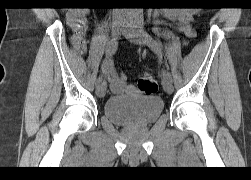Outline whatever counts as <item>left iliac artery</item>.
I'll return each instance as SVG.
<instances>
[{
	"mask_svg": "<svg viewBox=\"0 0 251 180\" xmlns=\"http://www.w3.org/2000/svg\"><path fill=\"white\" fill-rule=\"evenodd\" d=\"M135 24L136 27L138 28L139 32L143 35L146 44L152 49V51H154L156 54L161 55V48H160V44L152 38L151 35H149L145 29H144V19L142 17V15L137 14L135 16ZM163 76L172 80L171 74L170 72L164 70L163 71Z\"/></svg>",
	"mask_w": 251,
	"mask_h": 180,
	"instance_id": "1",
	"label": "left iliac artery"
}]
</instances>
